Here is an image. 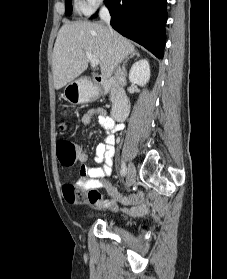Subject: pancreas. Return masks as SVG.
<instances>
[{
  "label": "pancreas",
  "mask_w": 227,
  "mask_h": 279,
  "mask_svg": "<svg viewBox=\"0 0 227 279\" xmlns=\"http://www.w3.org/2000/svg\"><path fill=\"white\" fill-rule=\"evenodd\" d=\"M113 96H114V93H113V90L111 91V94H110V99L113 100Z\"/></svg>",
  "instance_id": "obj_1"
}]
</instances>
